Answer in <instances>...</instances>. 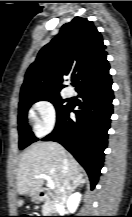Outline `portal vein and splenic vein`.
I'll return each instance as SVG.
<instances>
[{
	"instance_id": "obj_1",
	"label": "portal vein and splenic vein",
	"mask_w": 132,
	"mask_h": 217,
	"mask_svg": "<svg viewBox=\"0 0 132 217\" xmlns=\"http://www.w3.org/2000/svg\"><path fill=\"white\" fill-rule=\"evenodd\" d=\"M35 178H43L45 180H47V183H48V187L50 189H54L55 188V183L53 182V180L46 174H40V175H35L34 176Z\"/></svg>"
}]
</instances>
